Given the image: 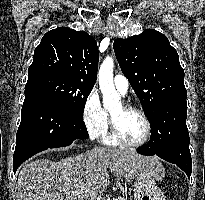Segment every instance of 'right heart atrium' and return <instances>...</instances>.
Returning a JSON list of instances; mask_svg holds the SVG:
<instances>
[{
  "label": "right heart atrium",
  "instance_id": "right-heart-atrium-1",
  "mask_svg": "<svg viewBox=\"0 0 205 200\" xmlns=\"http://www.w3.org/2000/svg\"><path fill=\"white\" fill-rule=\"evenodd\" d=\"M82 118L91 138H100L106 131L108 127V113L103 108L96 90H92L88 94L83 105Z\"/></svg>",
  "mask_w": 205,
  "mask_h": 200
}]
</instances>
